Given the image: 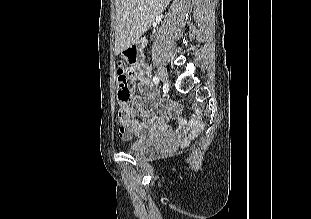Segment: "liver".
<instances>
[{
  "instance_id": "6515ba94",
  "label": "liver",
  "mask_w": 311,
  "mask_h": 219,
  "mask_svg": "<svg viewBox=\"0 0 311 219\" xmlns=\"http://www.w3.org/2000/svg\"><path fill=\"white\" fill-rule=\"evenodd\" d=\"M171 0H116L115 54L134 44Z\"/></svg>"
}]
</instances>
